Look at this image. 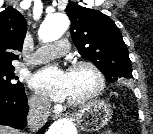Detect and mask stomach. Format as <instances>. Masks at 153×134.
<instances>
[{
  "mask_svg": "<svg viewBox=\"0 0 153 134\" xmlns=\"http://www.w3.org/2000/svg\"><path fill=\"white\" fill-rule=\"evenodd\" d=\"M111 118V106L102 100L86 104L76 114L80 129L86 132L99 131L108 124Z\"/></svg>",
  "mask_w": 153,
  "mask_h": 134,
  "instance_id": "obj_1",
  "label": "stomach"
}]
</instances>
